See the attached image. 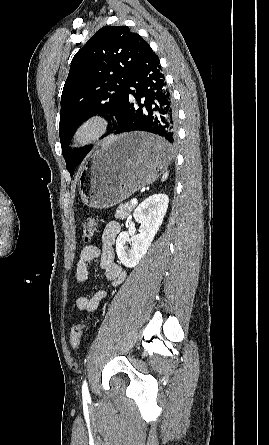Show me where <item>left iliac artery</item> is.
<instances>
[{
  "mask_svg": "<svg viewBox=\"0 0 269 445\" xmlns=\"http://www.w3.org/2000/svg\"><path fill=\"white\" fill-rule=\"evenodd\" d=\"M82 396L84 399H89L90 397L86 380H84L82 385Z\"/></svg>",
  "mask_w": 269,
  "mask_h": 445,
  "instance_id": "44dca946",
  "label": "left iliac artery"
}]
</instances>
